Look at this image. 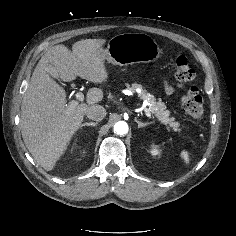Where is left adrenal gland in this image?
Instances as JSON below:
<instances>
[{
  "label": "left adrenal gland",
  "mask_w": 236,
  "mask_h": 236,
  "mask_svg": "<svg viewBox=\"0 0 236 236\" xmlns=\"http://www.w3.org/2000/svg\"><path fill=\"white\" fill-rule=\"evenodd\" d=\"M135 122L138 124V128H142L150 124V123H142L137 118H135Z\"/></svg>",
  "instance_id": "a2214340"
}]
</instances>
